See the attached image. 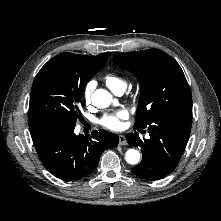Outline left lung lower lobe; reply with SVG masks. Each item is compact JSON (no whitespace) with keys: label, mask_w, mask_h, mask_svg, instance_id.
<instances>
[{"label":"left lung lower lobe","mask_w":221,"mask_h":221,"mask_svg":"<svg viewBox=\"0 0 221 221\" xmlns=\"http://www.w3.org/2000/svg\"><path fill=\"white\" fill-rule=\"evenodd\" d=\"M191 117L162 115L155 118L146 126L149 139H140L137 132L127 134L128 144L140 147L142 151V161L132 172L147 180H158L170 174L176 168L189 140Z\"/></svg>","instance_id":"obj_1"}]
</instances>
